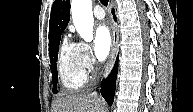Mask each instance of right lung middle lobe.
Here are the masks:
<instances>
[{
  "label": "right lung middle lobe",
  "mask_w": 193,
  "mask_h": 112,
  "mask_svg": "<svg viewBox=\"0 0 193 112\" xmlns=\"http://www.w3.org/2000/svg\"><path fill=\"white\" fill-rule=\"evenodd\" d=\"M61 35L57 37L54 43L49 47V56L51 61V73L53 79V93H57V54L59 50V43H60Z\"/></svg>",
  "instance_id": "obj_1"
}]
</instances>
